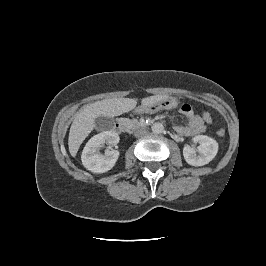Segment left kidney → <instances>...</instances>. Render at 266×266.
Returning <instances> with one entry per match:
<instances>
[{"mask_svg": "<svg viewBox=\"0 0 266 266\" xmlns=\"http://www.w3.org/2000/svg\"><path fill=\"white\" fill-rule=\"evenodd\" d=\"M194 143H199L197 149L185 145L183 148V156L185 161L192 166H203L208 164L218 152V143L211 137L206 135H197L193 137ZM199 154H196V153Z\"/></svg>", "mask_w": 266, "mask_h": 266, "instance_id": "5707ae66", "label": "left kidney"}]
</instances>
